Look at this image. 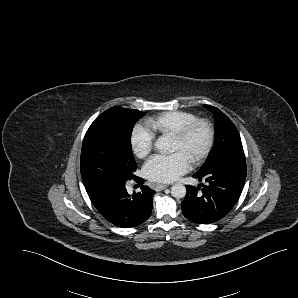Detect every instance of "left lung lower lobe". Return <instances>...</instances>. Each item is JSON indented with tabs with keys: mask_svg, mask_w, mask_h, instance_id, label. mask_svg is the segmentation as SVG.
I'll list each match as a JSON object with an SVG mask.
<instances>
[{
	"mask_svg": "<svg viewBox=\"0 0 298 298\" xmlns=\"http://www.w3.org/2000/svg\"><path fill=\"white\" fill-rule=\"evenodd\" d=\"M194 177L199 181L205 178L207 183L198 188L186 185L182 212L192 222L214 223L230 212L242 192L246 179L245 156H236L200 170Z\"/></svg>",
	"mask_w": 298,
	"mask_h": 298,
	"instance_id": "left-lung-lower-lobe-1",
	"label": "left lung lower lobe"
}]
</instances>
